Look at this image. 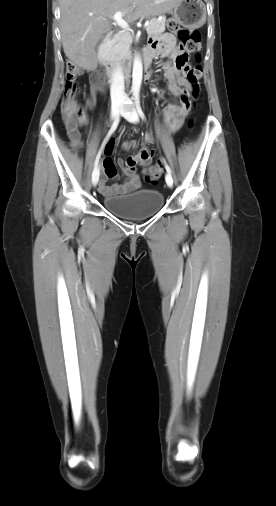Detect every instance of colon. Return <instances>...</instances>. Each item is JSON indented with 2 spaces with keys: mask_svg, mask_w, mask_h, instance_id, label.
Segmentation results:
<instances>
[{
  "mask_svg": "<svg viewBox=\"0 0 276 506\" xmlns=\"http://www.w3.org/2000/svg\"><path fill=\"white\" fill-rule=\"evenodd\" d=\"M169 31L175 33L181 45L189 53H198L201 49V36L198 31H188L183 29L176 18H170L168 20ZM196 60L199 62L200 58L197 55ZM81 72L77 66L69 63L67 66V82L64 95L61 103V112L64 120L66 130L68 132L71 144L73 147H79L81 145V134L79 132V126L83 122V113L81 112L78 101H77V79ZM100 77L101 74L98 73ZM202 74V68L199 64L188 69L184 80L189 84V91L184 92L181 96V101L185 108H191L194 106L195 101L200 95V79ZM193 125V120L190 121V126ZM153 152V151H150ZM148 156V152H139V159H143ZM134 164V161L129 162ZM163 173V167L159 163L144 172V180L147 183H156Z\"/></svg>",
  "mask_w": 276,
  "mask_h": 506,
  "instance_id": "obj_1",
  "label": "colon"
}]
</instances>
